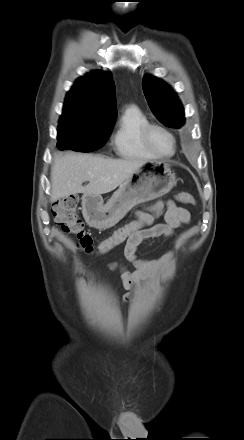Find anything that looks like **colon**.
I'll return each instance as SVG.
<instances>
[{
  "instance_id": "5ec220e1",
  "label": "colon",
  "mask_w": 244,
  "mask_h": 440,
  "mask_svg": "<svg viewBox=\"0 0 244 440\" xmlns=\"http://www.w3.org/2000/svg\"><path fill=\"white\" fill-rule=\"evenodd\" d=\"M176 199L185 204H194V198L190 193L181 192L177 194ZM54 216L57 224L63 231L73 234L77 238L80 248L87 252L93 250V242L91 236L85 232L84 224L77 212V198L69 197L56 203L54 208ZM162 211L150 212L145 216L136 217L134 220L117 229L111 236L103 240L97 251L99 254H106L116 246L135 234L154 223L160 216ZM116 264H112V267Z\"/></svg>"
}]
</instances>
